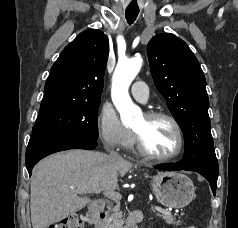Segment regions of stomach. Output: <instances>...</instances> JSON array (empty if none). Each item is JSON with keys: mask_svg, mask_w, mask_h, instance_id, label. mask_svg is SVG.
Listing matches in <instances>:
<instances>
[{"mask_svg": "<svg viewBox=\"0 0 238 228\" xmlns=\"http://www.w3.org/2000/svg\"><path fill=\"white\" fill-rule=\"evenodd\" d=\"M152 188L157 201L169 208H183L195 196L191 179L176 172L157 173L152 178Z\"/></svg>", "mask_w": 238, "mask_h": 228, "instance_id": "stomach-1", "label": "stomach"}]
</instances>
